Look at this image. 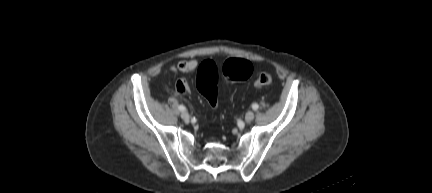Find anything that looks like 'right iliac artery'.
<instances>
[{
  "mask_svg": "<svg viewBox=\"0 0 432 193\" xmlns=\"http://www.w3.org/2000/svg\"><path fill=\"white\" fill-rule=\"evenodd\" d=\"M178 109H179L180 111H185V110H186L185 106H183V105H179V106H178Z\"/></svg>",
  "mask_w": 432,
  "mask_h": 193,
  "instance_id": "obj_1",
  "label": "right iliac artery"
}]
</instances>
